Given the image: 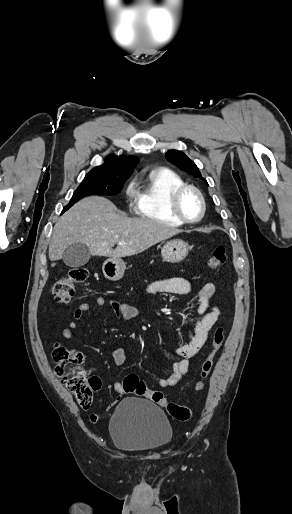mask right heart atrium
Returning <instances> with one entry per match:
<instances>
[{
	"mask_svg": "<svg viewBox=\"0 0 292 514\" xmlns=\"http://www.w3.org/2000/svg\"><path fill=\"white\" fill-rule=\"evenodd\" d=\"M124 194H125V197L127 198V200L131 201L132 199H134L135 197V194H136V189H135V184L134 182H129L125 188H124Z\"/></svg>",
	"mask_w": 292,
	"mask_h": 514,
	"instance_id": "obj_1",
	"label": "right heart atrium"
}]
</instances>
